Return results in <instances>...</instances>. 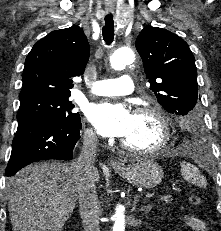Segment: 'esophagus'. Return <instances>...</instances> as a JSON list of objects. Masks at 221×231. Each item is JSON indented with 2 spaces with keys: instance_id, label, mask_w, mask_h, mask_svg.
I'll return each instance as SVG.
<instances>
[{
  "instance_id": "34e87169",
  "label": "esophagus",
  "mask_w": 221,
  "mask_h": 231,
  "mask_svg": "<svg viewBox=\"0 0 221 231\" xmlns=\"http://www.w3.org/2000/svg\"><path fill=\"white\" fill-rule=\"evenodd\" d=\"M109 12H111V11H109ZM110 164L112 166H120L121 165V163L119 161H117L116 159H111Z\"/></svg>"
}]
</instances>
